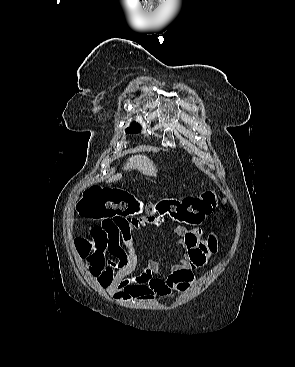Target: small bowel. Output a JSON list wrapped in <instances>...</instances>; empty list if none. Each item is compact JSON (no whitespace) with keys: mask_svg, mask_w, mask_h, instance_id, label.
<instances>
[{"mask_svg":"<svg viewBox=\"0 0 295 367\" xmlns=\"http://www.w3.org/2000/svg\"><path fill=\"white\" fill-rule=\"evenodd\" d=\"M164 221L168 222L169 218L165 217ZM147 224L161 226L162 221L142 217L101 222L105 245L112 259L95 277L107 294L118 302L167 299L176 292H185L195 282L194 271L205 267L217 250L214 241L207 239L202 229L178 224L175 232L180 237L184 257L169 268L168 276L165 279L154 277L162 270V265L151 257L145 259L144 271L132 276L138 265L132 231Z\"/></svg>","mask_w":295,"mask_h":367,"instance_id":"c3829d8e","label":"small bowel"}]
</instances>
